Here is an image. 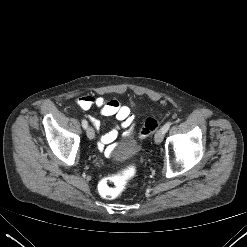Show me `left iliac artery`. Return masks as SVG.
Masks as SVG:
<instances>
[{"instance_id":"1","label":"left iliac artery","mask_w":247,"mask_h":247,"mask_svg":"<svg viewBox=\"0 0 247 247\" xmlns=\"http://www.w3.org/2000/svg\"><path fill=\"white\" fill-rule=\"evenodd\" d=\"M171 122L168 121L163 127V132L166 133L168 131V129L170 128Z\"/></svg>"}]
</instances>
